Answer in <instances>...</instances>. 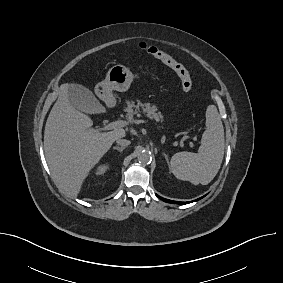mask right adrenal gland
Wrapping results in <instances>:
<instances>
[{"label":"right adrenal gland","instance_id":"right-adrenal-gland-1","mask_svg":"<svg viewBox=\"0 0 283 283\" xmlns=\"http://www.w3.org/2000/svg\"><path fill=\"white\" fill-rule=\"evenodd\" d=\"M113 149L118 150L119 152H122L125 149V147L124 146H121V147L114 146Z\"/></svg>","mask_w":283,"mask_h":283}]
</instances>
